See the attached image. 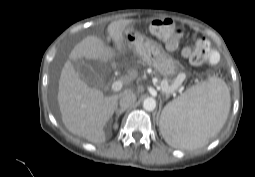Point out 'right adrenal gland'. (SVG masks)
Returning <instances> with one entry per match:
<instances>
[{"instance_id":"right-adrenal-gland-1","label":"right adrenal gland","mask_w":255,"mask_h":177,"mask_svg":"<svg viewBox=\"0 0 255 177\" xmlns=\"http://www.w3.org/2000/svg\"><path fill=\"white\" fill-rule=\"evenodd\" d=\"M125 111H126V109H117V110H116V120H118L119 116H120L123 112H125Z\"/></svg>"}]
</instances>
